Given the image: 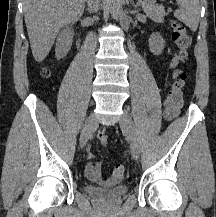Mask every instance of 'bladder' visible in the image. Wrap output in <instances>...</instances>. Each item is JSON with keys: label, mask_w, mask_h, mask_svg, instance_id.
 Returning <instances> with one entry per match:
<instances>
[{"label": "bladder", "mask_w": 216, "mask_h": 217, "mask_svg": "<svg viewBox=\"0 0 216 217\" xmlns=\"http://www.w3.org/2000/svg\"><path fill=\"white\" fill-rule=\"evenodd\" d=\"M85 191L90 196L103 203H114L125 197L129 192V188L126 184H118L106 189H99L92 185H86Z\"/></svg>", "instance_id": "1"}]
</instances>
